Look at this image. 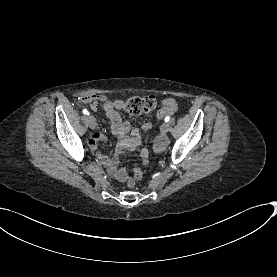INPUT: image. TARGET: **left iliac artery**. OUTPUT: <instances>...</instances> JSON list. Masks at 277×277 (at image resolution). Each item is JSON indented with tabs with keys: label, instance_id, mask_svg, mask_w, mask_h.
Segmentation results:
<instances>
[{
	"label": "left iliac artery",
	"instance_id": "44dca946",
	"mask_svg": "<svg viewBox=\"0 0 277 277\" xmlns=\"http://www.w3.org/2000/svg\"><path fill=\"white\" fill-rule=\"evenodd\" d=\"M164 120L165 122H168L170 120V116H166Z\"/></svg>",
	"mask_w": 277,
	"mask_h": 277
}]
</instances>
